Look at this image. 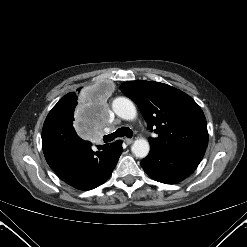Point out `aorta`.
I'll use <instances>...</instances> for the list:
<instances>
[{"instance_id": "aorta-1", "label": "aorta", "mask_w": 247, "mask_h": 247, "mask_svg": "<svg viewBox=\"0 0 247 247\" xmlns=\"http://www.w3.org/2000/svg\"><path fill=\"white\" fill-rule=\"evenodd\" d=\"M112 109L117 116L124 120H133L137 115L135 105L130 99L125 97L115 98L112 102ZM131 150L136 157L145 158L150 150L149 142L144 138L136 139Z\"/></svg>"}]
</instances>
